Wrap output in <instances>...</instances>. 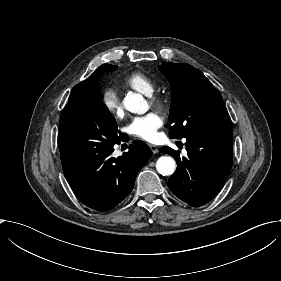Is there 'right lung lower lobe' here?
I'll list each match as a JSON object with an SVG mask.
<instances>
[{
	"label": "right lung lower lobe",
	"mask_w": 281,
	"mask_h": 281,
	"mask_svg": "<svg viewBox=\"0 0 281 281\" xmlns=\"http://www.w3.org/2000/svg\"><path fill=\"white\" fill-rule=\"evenodd\" d=\"M94 83L75 86L59 123L58 147L63 172L73 192L86 206L104 212L117 206L133 189L138 171L152 152L135 140L122 156L113 146L127 141L108 108L98 100Z\"/></svg>",
	"instance_id": "1"
}]
</instances>
